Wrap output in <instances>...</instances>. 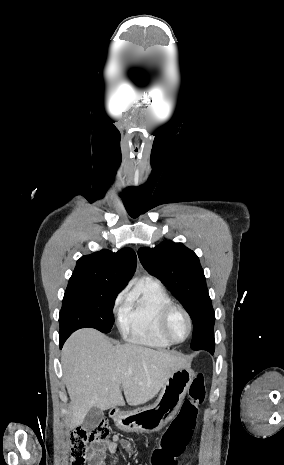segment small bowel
Instances as JSON below:
<instances>
[{
	"label": "small bowel",
	"mask_w": 284,
	"mask_h": 465,
	"mask_svg": "<svg viewBox=\"0 0 284 465\" xmlns=\"http://www.w3.org/2000/svg\"><path fill=\"white\" fill-rule=\"evenodd\" d=\"M119 445L128 452L131 449L130 442L126 439H120L116 434L108 441L97 444L91 454L92 465H103V461L106 458L107 453L114 454Z\"/></svg>",
	"instance_id": "small-bowel-1"
}]
</instances>
